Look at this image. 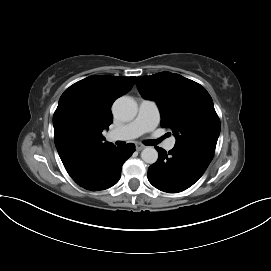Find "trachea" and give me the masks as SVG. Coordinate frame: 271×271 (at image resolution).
I'll list each match as a JSON object with an SVG mask.
<instances>
[{
    "mask_svg": "<svg viewBox=\"0 0 271 271\" xmlns=\"http://www.w3.org/2000/svg\"><path fill=\"white\" fill-rule=\"evenodd\" d=\"M160 140H148V141H145L144 144L145 145H148V146H153V145H156L157 143H159Z\"/></svg>",
    "mask_w": 271,
    "mask_h": 271,
    "instance_id": "trachea-1",
    "label": "trachea"
}]
</instances>
